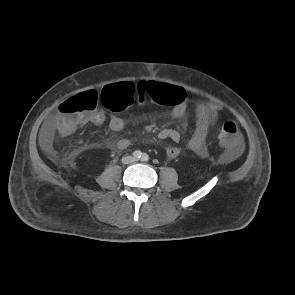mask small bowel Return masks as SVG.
Wrapping results in <instances>:
<instances>
[{
  "label": "small bowel",
  "mask_w": 295,
  "mask_h": 295,
  "mask_svg": "<svg viewBox=\"0 0 295 295\" xmlns=\"http://www.w3.org/2000/svg\"><path fill=\"white\" fill-rule=\"evenodd\" d=\"M173 87L177 89L178 93L175 96V101L172 103L173 107L171 109L170 116L172 118L183 119L188 106L186 94L182 88L177 86ZM220 111L221 107L213 102L198 100L195 103L196 128L193 136L187 142V147L201 157L208 156V132L210 128L216 124ZM105 117L106 116L102 111H94L85 118L82 125L87 123L100 125L105 121ZM109 127L112 131L119 132L125 127V121L123 118L113 115L109 119ZM55 131L56 116H53L43 126L39 137L41 145L47 152L52 149L53 135ZM158 137L161 140H171L175 143L181 142L182 139L181 134L175 129H163L159 132ZM116 146L118 149L124 150L130 146V140L127 138L119 139L116 142ZM242 148L243 146L240 138L237 147L228 150L227 159H235L240 155ZM180 152V148L176 146H169L166 148V155L169 159L177 158Z\"/></svg>",
  "instance_id": "c3829d8e"
}]
</instances>
